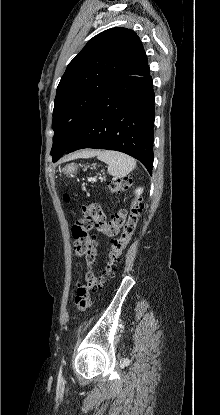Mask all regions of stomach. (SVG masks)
I'll use <instances>...</instances> for the list:
<instances>
[{"label":"stomach","mask_w":220,"mask_h":415,"mask_svg":"<svg viewBox=\"0 0 220 415\" xmlns=\"http://www.w3.org/2000/svg\"><path fill=\"white\" fill-rule=\"evenodd\" d=\"M65 170H66V172H74L76 170V166L68 165Z\"/></svg>","instance_id":"stomach-1"}]
</instances>
